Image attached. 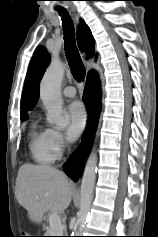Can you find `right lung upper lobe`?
<instances>
[{
  "instance_id": "1",
  "label": "right lung upper lobe",
  "mask_w": 158,
  "mask_h": 237,
  "mask_svg": "<svg viewBox=\"0 0 158 237\" xmlns=\"http://www.w3.org/2000/svg\"><path fill=\"white\" fill-rule=\"evenodd\" d=\"M77 42L81 50L86 51L88 58L94 53L95 41L91 34L89 27L81 20L80 27L77 32ZM50 55L43 48L38 47L30 62L29 70L26 77L25 89L21 99V113L20 116H28L27 111L31 110L39 99V82L49 65ZM93 72V71H91ZM89 72L88 74H90Z\"/></svg>"
}]
</instances>
